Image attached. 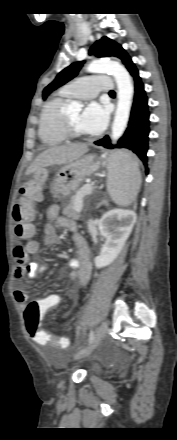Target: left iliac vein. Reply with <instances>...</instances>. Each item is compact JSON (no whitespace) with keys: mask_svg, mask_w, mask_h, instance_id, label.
I'll return each mask as SVG.
<instances>
[{"mask_svg":"<svg viewBox=\"0 0 177 440\" xmlns=\"http://www.w3.org/2000/svg\"><path fill=\"white\" fill-rule=\"evenodd\" d=\"M107 330H108V322L103 321L96 330V334L94 336L93 342L86 349L77 353L75 355V359H80V358L86 357L90 353H92L96 349V347L100 344V342L103 339V337L105 336Z\"/></svg>","mask_w":177,"mask_h":440,"instance_id":"left-iliac-vein-1","label":"left iliac vein"}]
</instances>
